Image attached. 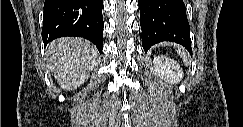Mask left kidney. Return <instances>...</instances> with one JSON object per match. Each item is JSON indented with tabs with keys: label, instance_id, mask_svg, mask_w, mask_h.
<instances>
[{
	"label": "left kidney",
	"instance_id": "left-kidney-1",
	"mask_svg": "<svg viewBox=\"0 0 243 127\" xmlns=\"http://www.w3.org/2000/svg\"><path fill=\"white\" fill-rule=\"evenodd\" d=\"M154 67L158 76L169 83H178L183 78V71L180 65L167 57H154Z\"/></svg>",
	"mask_w": 243,
	"mask_h": 127
}]
</instances>
